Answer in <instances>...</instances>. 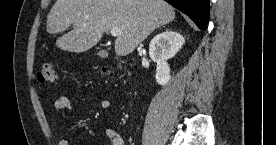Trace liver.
<instances>
[{
	"label": "liver",
	"mask_w": 276,
	"mask_h": 145,
	"mask_svg": "<svg viewBox=\"0 0 276 145\" xmlns=\"http://www.w3.org/2000/svg\"><path fill=\"white\" fill-rule=\"evenodd\" d=\"M175 19L174 8L164 0H56L47 16L50 34L73 30L56 40L64 51L81 53L91 49L104 32L121 29L115 52H133L155 29Z\"/></svg>",
	"instance_id": "1"
}]
</instances>
